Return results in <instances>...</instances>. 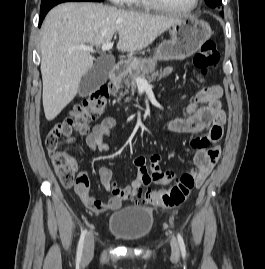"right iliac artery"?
I'll return each instance as SVG.
<instances>
[{"label": "right iliac artery", "mask_w": 265, "mask_h": 269, "mask_svg": "<svg viewBox=\"0 0 265 269\" xmlns=\"http://www.w3.org/2000/svg\"><path fill=\"white\" fill-rule=\"evenodd\" d=\"M86 236H87V230H84L81 233L79 243H78L77 254H76V261L77 262H80V260H81L82 250H83L84 241H85Z\"/></svg>", "instance_id": "obj_1"}]
</instances>
